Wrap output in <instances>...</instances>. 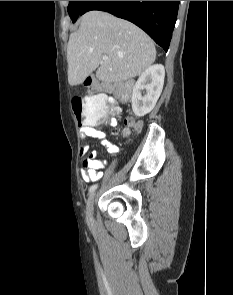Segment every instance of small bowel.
<instances>
[{"label":"small bowel","instance_id":"1","mask_svg":"<svg viewBox=\"0 0 233 295\" xmlns=\"http://www.w3.org/2000/svg\"><path fill=\"white\" fill-rule=\"evenodd\" d=\"M110 125H115V121H109ZM80 137L83 141L81 147V156L84 157L89 145L86 142L87 138H95L100 141V143L106 147L108 153L111 156H116L119 153V147L112 142H110L104 132L94 127L93 124L85 125L80 128ZM106 164V161H100L98 159V153L96 151H91L86 158H83L81 176L85 181H96L100 179L103 175L101 169Z\"/></svg>","mask_w":233,"mask_h":295}]
</instances>
